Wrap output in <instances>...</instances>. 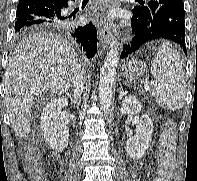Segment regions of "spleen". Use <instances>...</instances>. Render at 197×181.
Instances as JSON below:
<instances>
[{
	"mask_svg": "<svg viewBox=\"0 0 197 181\" xmlns=\"http://www.w3.org/2000/svg\"><path fill=\"white\" fill-rule=\"evenodd\" d=\"M154 81L151 94L163 108L171 111L183 107L185 95L184 69L180 56L169 42H162L151 63Z\"/></svg>",
	"mask_w": 197,
	"mask_h": 181,
	"instance_id": "1",
	"label": "spleen"
}]
</instances>
